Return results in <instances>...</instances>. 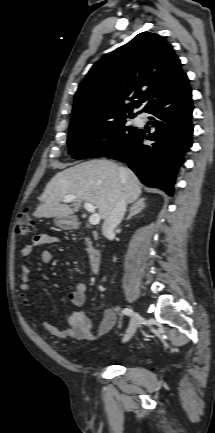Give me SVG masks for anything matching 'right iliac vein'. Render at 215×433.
<instances>
[{
    "label": "right iliac vein",
    "instance_id": "obj_1",
    "mask_svg": "<svg viewBox=\"0 0 215 433\" xmlns=\"http://www.w3.org/2000/svg\"><path fill=\"white\" fill-rule=\"evenodd\" d=\"M140 319H141L140 315L138 313H134V315L131 318L130 325H129V327H128L127 331H126V334H125V336L123 338L124 342H126V341H128V340H130L132 338V336L134 335V333L137 330V327L139 325Z\"/></svg>",
    "mask_w": 215,
    "mask_h": 433
}]
</instances>
